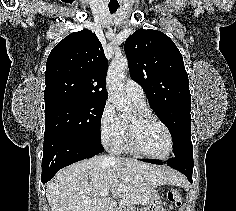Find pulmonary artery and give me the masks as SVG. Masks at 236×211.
<instances>
[{
    "label": "pulmonary artery",
    "mask_w": 236,
    "mask_h": 211,
    "mask_svg": "<svg viewBox=\"0 0 236 211\" xmlns=\"http://www.w3.org/2000/svg\"><path fill=\"white\" fill-rule=\"evenodd\" d=\"M126 96L136 104L145 105L146 98L143 88L134 80H127L125 87Z\"/></svg>",
    "instance_id": "1"
}]
</instances>
